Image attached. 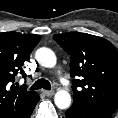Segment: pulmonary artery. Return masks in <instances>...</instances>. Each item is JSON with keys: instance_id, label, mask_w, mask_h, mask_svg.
Instances as JSON below:
<instances>
[{"instance_id": "1", "label": "pulmonary artery", "mask_w": 118, "mask_h": 118, "mask_svg": "<svg viewBox=\"0 0 118 118\" xmlns=\"http://www.w3.org/2000/svg\"><path fill=\"white\" fill-rule=\"evenodd\" d=\"M59 80L64 84V77L62 75H59Z\"/></svg>"}]
</instances>
